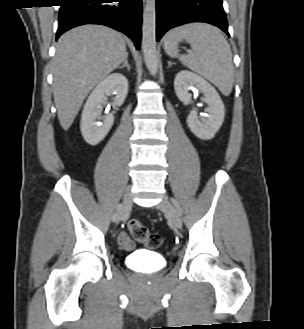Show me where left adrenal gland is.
<instances>
[{
	"label": "left adrenal gland",
	"instance_id": "left-adrenal-gland-1",
	"mask_svg": "<svg viewBox=\"0 0 304 329\" xmlns=\"http://www.w3.org/2000/svg\"><path fill=\"white\" fill-rule=\"evenodd\" d=\"M173 64V62L168 61V67H171Z\"/></svg>",
	"mask_w": 304,
	"mask_h": 329
}]
</instances>
